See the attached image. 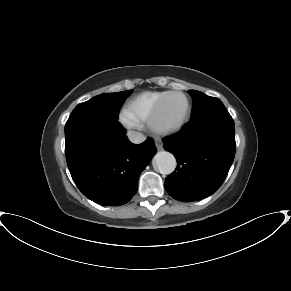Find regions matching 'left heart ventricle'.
I'll list each match as a JSON object with an SVG mask.
<instances>
[{
	"mask_svg": "<svg viewBox=\"0 0 291 291\" xmlns=\"http://www.w3.org/2000/svg\"><path fill=\"white\" fill-rule=\"evenodd\" d=\"M186 111V99L181 95H173L165 102L159 123L164 127L177 126L184 120Z\"/></svg>",
	"mask_w": 291,
	"mask_h": 291,
	"instance_id": "obj_1",
	"label": "left heart ventricle"
}]
</instances>
